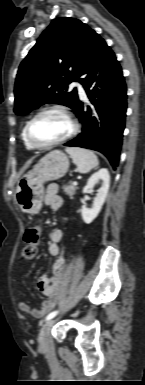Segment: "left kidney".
<instances>
[{"mask_svg": "<svg viewBox=\"0 0 145 385\" xmlns=\"http://www.w3.org/2000/svg\"><path fill=\"white\" fill-rule=\"evenodd\" d=\"M100 179L102 180V186L98 190L92 208H87L85 205H83L81 209L82 219L86 224H90L98 216L105 202L110 184V175L108 170L106 168H101L95 172L88 179L86 186L83 188V193H86L93 187L95 182Z\"/></svg>", "mask_w": 145, "mask_h": 385, "instance_id": "obj_1", "label": "left kidney"}]
</instances>
